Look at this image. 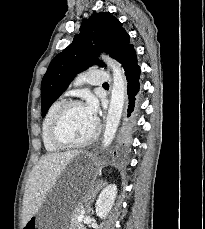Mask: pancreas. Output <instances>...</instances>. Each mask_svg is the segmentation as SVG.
<instances>
[{
    "label": "pancreas",
    "instance_id": "cf45deb5",
    "mask_svg": "<svg viewBox=\"0 0 205 229\" xmlns=\"http://www.w3.org/2000/svg\"><path fill=\"white\" fill-rule=\"evenodd\" d=\"M81 213L78 212V210H76L71 218V229H84V226L81 222H79L77 220V217L80 215Z\"/></svg>",
    "mask_w": 205,
    "mask_h": 229
}]
</instances>
